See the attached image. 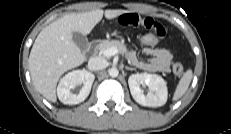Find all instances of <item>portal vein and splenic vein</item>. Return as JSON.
<instances>
[{"instance_id":"1","label":"portal vein and splenic vein","mask_w":231,"mask_h":134,"mask_svg":"<svg viewBox=\"0 0 231 134\" xmlns=\"http://www.w3.org/2000/svg\"><path fill=\"white\" fill-rule=\"evenodd\" d=\"M121 53L116 47H110L102 52V54L106 57H112L116 54Z\"/></svg>"}]
</instances>
